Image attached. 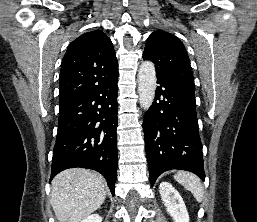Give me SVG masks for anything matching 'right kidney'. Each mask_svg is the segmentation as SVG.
Returning a JSON list of instances; mask_svg holds the SVG:
<instances>
[{
  "label": "right kidney",
  "instance_id": "ca27d5eb",
  "mask_svg": "<svg viewBox=\"0 0 257 222\" xmlns=\"http://www.w3.org/2000/svg\"><path fill=\"white\" fill-rule=\"evenodd\" d=\"M81 222H102V217L98 214H92L83 219Z\"/></svg>",
  "mask_w": 257,
  "mask_h": 222
}]
</instances>
